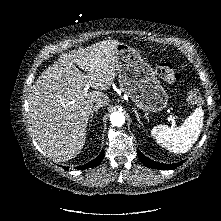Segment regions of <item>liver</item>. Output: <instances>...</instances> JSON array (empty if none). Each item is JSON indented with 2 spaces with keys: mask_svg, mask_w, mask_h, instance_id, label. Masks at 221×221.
Wrapping results in <instances>:
<instances>
[{
  "mask_svg": "<svg viewBox=\"0 0 221 221\" xmlns=\"http://www.w3.org/2000/svg\"><path fill=\"white\" fill-rule=\"evenodd\" d=\"M118 44L100 41L63 54L32 86L28 98L31 132L54 161H68L83 149L94 98L110 88L118 71ZM87 85L95 90H84Z\"/></svg>",
  "mask_w": 221,
  "mask_h": 221,
  "instance_id": "liver-1",
  "label": "liver"
}]
</instances>
